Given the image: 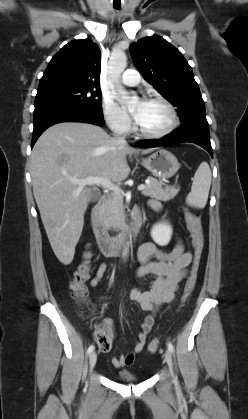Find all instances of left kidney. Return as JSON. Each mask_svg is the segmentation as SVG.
Instances as JSON below:
<instances>
[{"mask_svg": "<svg viewBox=\"0 0 248 419\" xmlns=\"http://www.w3.org/2000/svg\"><path fill=\"white\" fill-rule=\"evenodd\" d=\"M172 236V227L167 222L155 224L151 229V237L160 246L167 245Z\"/></svg>", "mask_w": 248, "mask_h": 419, "instance_id": "left-kidney-1", "label": "left kidney"}]
</instances>
